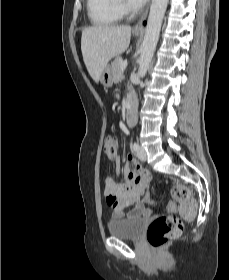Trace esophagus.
<instances>
[{
    "instance_id": "obj_1",
    "label": "esophagus",
    "mask_w": 229,
    "mask_h": 280,
    "mask_svg": "<svg viewBox=\"0 0 229 280\" xmlns=\"http://www.w3.org/2000/svg\"><path fill=\"white\" fill-rule=\"evenodd\" d=\"M148 9L149 6H147V8L145 9V11L143 12V14L141 15L140 19L137 21V23L134 26V30L139 31V30H143V23L147 17L148 14Z\"/></svg>"
}]
</instances>
